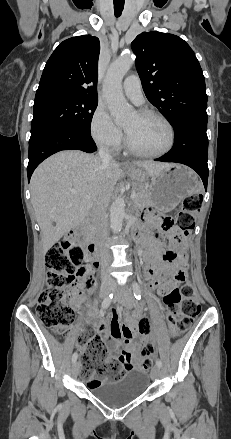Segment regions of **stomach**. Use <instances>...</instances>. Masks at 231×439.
<instances>
[{
	"label": "stomach",
	"mask_w": 231,
	"mask_h": 439,
	"mask_svg": "<svg viewBox=\"0 0 231 439\" xmlns=\"http://www.w3.org/2000/svg\"><path fill=\"white\" fill-rule=\"evenodd\" d=\"M127 171L140 183H146L150 178L147 191L151 204L162 212L172 211L184 198L196 194L200 189L196 173L182 165H173L153 176L138 166H132Z\"/></svg>",
	"instance_id": "obj_1"
}]
</instances>
